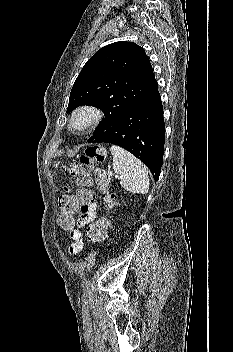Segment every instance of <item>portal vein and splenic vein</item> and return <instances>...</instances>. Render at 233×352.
Segmentation results:
<instances>
[{
    "mask_svg": "<svg viewBox=\"0 0 233 352\" xmlns=\"http://www.w3.org/2000/svg\"><path fill=\"white\" fill-rule=\"evenodd\" d=\"M115 178H119V176H118V175H116V176H115Z\"/></svg>",
    "mask_w": 233,
    "mask_h": 352,
    "instance_id": "1",
    "label": "portal vein and splenic vein"
}]
</instances>
